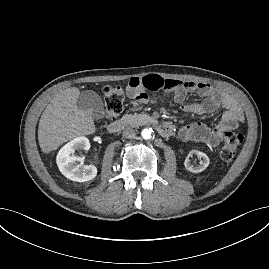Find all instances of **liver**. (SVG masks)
Here are the masks:
<instances>
[{
	"instance_id": "liver-1",
	"label": "liver",
	"mask_w": 269,
	"mask_h": 269,
	"mask_svg": "<svg viewBox=\"0 0 269 269\" xmlns=\"http://www.w3.org/2000/svg\"><path fill=\"white\" fill-rule=\"evenodd\" d=\"M80 91L70 87L57 94L41 115L38 128L39 146L44 153H50L63 143L96 131L89 112L77 106Z\"/></svg>"
}]
</instances>
